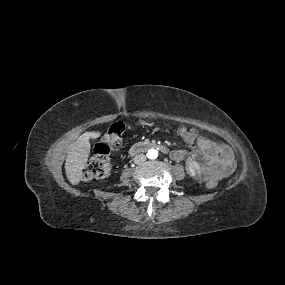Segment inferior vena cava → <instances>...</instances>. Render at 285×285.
<instances>
[{"label": "inferior vena cava", "mask_w": 285, "mask_h": 285, "mask_svg": "<svg viewBox=\"0 0 285 285\" xmlns=\"http://www.w3.org/2000/svg\"><path fill=\"white\" fill-rule=\"evenodd\" d=\"M146 161V156L144 154H138L134 157L135 164H142Z\"/></svg>", "instance_id": "602c4592"}]
</instances>
